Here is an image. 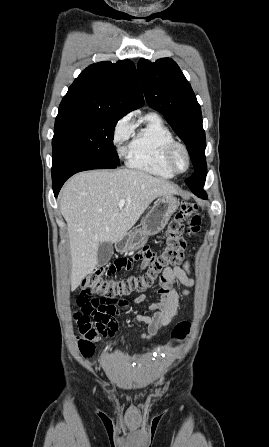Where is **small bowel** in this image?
<instances>
[{
    "label": "small bowel",
    "instance_id": "1",
    "mask_svg": "<svg viewBox=\"0 0 269 447\" xmlns=\"http://www.w3.org/2000/svg\"><path fill=\"white\" fill-rule=\"evenodd\" d=\"M178 282L186 287L181 293L177 289ZM193 285L194 280L190 276V264L188 262L182 266L168 268L163 272L158 289L159 299L149 307L152 314L142 315L136 313L134 315L135 320L143 322L148 326L147 331L142 334L143 339L151 338L161 328L170 323L177 313L180 297L188 296L190 294L189 288ZM143 301H145V297L141 296L136 298L133 303L137 305Z\"/></svg>",
    "mask_w": 269,
    "mask_h": 447
}]
</instances>
